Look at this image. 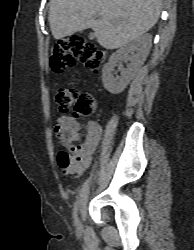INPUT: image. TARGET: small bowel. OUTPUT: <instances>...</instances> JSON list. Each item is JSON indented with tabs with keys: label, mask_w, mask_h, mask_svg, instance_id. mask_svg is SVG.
Masks as SVG:
<instances>
[{
	"label": "small bowel",
	"mask_w": 194,
	"mask_h": 250,
	"mask_svg": "<svg viewBox=\"0 0 194 250\" xmlns=\"http://www.w3.org/2000/svg\"><path fill=\"white\" fill-rule=\"evenodd\" d=\"M80 123L69 116H61L54 128L59 141L64 145H71L81 140ZM102 135L101 126L96 122H89L84 142L74 148V155L68 168L60 167L69 176L81 175L90 165L92 154L98 146Z\"/></svg>",
	"instance_id": "obj_1"
}]
</instances>
